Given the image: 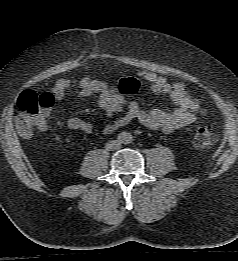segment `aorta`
I'll use <instances>...</instances> for the list:
<instances>
[{
	"mask_svg": "<svg viewBox=\"0 0 238 261\" xmlns=\"http://www.w3.org/2000/svg\"><path fill=\"white\" fill-rule=\"evenodd\" d=\"M132 140V135L130 133L124 132L123 133V142L124 143H130Z\"/></svg>",
	"mask_w": 238,
	"mask_h": 261,
	"instance_id": "aorta-1",
	"label": "aorta"
}]
</instances>
